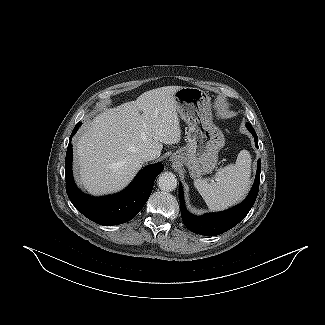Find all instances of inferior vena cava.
<instances>
[{"mask_svg":"<svg viewBox=\"0 0 325 325\" xmlns=\"http://www.w3.org/2000/svg\"><path fill=\"white\" fill-rule=\"evenodd\" d=\"M141 157L144 161H152L157 158V154L153 149H145L141 152Z\"/></svg>","mask_w":325,"mask_h":325,"instance_id":"602c4592","label":"inferior vena cava"}]
</instances>
